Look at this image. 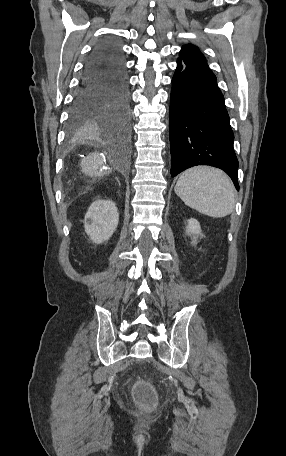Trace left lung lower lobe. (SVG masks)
Listing matches in <instances>:
<instances>
[{
  "label": "left lung lower lobe",
  "mask_w": 286,
  "mask_h": 456,
  "mask_svg": "<svg viewBox=\"0 0 286 456\" xmlns=\"http://www.w3.org/2000/svg\"><path fill=\"white\" fill-rule=\"evenodd\" d=\"M169 118L171 176L192 166L210 165L224 170L239 190L230 118L207 65L177 60Z\"/></svg>",
  "instance_id": "0a47b994"
}]
</instances>
